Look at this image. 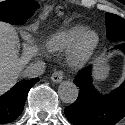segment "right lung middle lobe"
<instances>
[{"label": "right lung middle lobe", "mask_w": 125, "mask_h": 125, "mask_svg": "<svg viewBox=\"0 0 125 125\" xmlns=\"http://www.w3.org/2000/svg\"><path fill=\"white\" fill-rule=\"evenodd\" d=\"M39 4L34 0H8L0 3V21L14 25L24 24Z\"/></svg>", "instance_id": "1"}]
</instances>
